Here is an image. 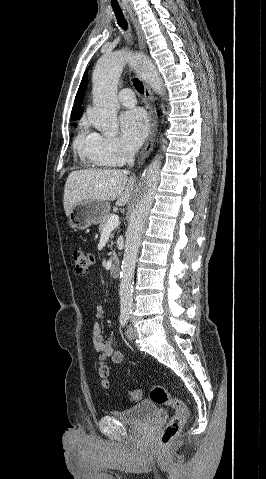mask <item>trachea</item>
I'll return each mask as SVG.
<instances>
[{
	"label": "trachea",
	"mask_w": 266,
	"mask_h": 479,
	"mask_svg": "<svg viewBox=\"0 0 266 479\" xmlns=\"http://www.w3.org/2000/svg\"><path fill=\"white\" fill-rule=\"evenodd\" d=\"M114 13H115V15H116V18H117V21H118L119 26H120L122 29L127 30V22H126V20H125V18H124V15H123V13H122V10H120V9H114ZM132 81H133V85H134L135 89H136L139 93L143 94V93H144V86H143L142 82H141L138 78H133Z\"/></svg>",
	"instance_id": "obj_1"
}]
</instances>
